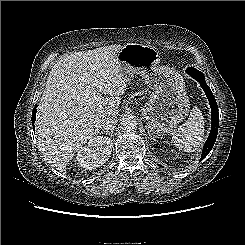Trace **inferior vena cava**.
<instances>
[{
	"mask_svg": "<svg viewBox=\"0 0 245 245\" xmlns=\"http://www.w3.org/2000/svg\"><path fill=\"white\" fill-rule=\"evenodd\" d=\"M117 121V116L115 115L105 116L101 121L100 127L106 130H113Z\"/></svg>",
	"mask_w": 245,
	"mask_h": 245,
	"instance_id": "obj_1",
	"label": "inferior vena cava"
}]
</instances>
